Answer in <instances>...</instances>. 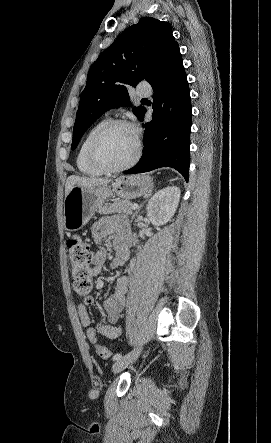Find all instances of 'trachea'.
Segmentation results:
<instances>
[{"mask_svg":"<svg viewBox=\"0 0 271 443\" xmlns=\"http://www.w3.org/2000/svg\"><path fill=\"white\" fill-rule=\"evenodd\" d=\"M141 101H148V100H147V98H142V100H141Z\"/></svg>","mask_w":271,"mask_h":443,"instance_id":"3493384b","label":"trachea"}]
</instances>
